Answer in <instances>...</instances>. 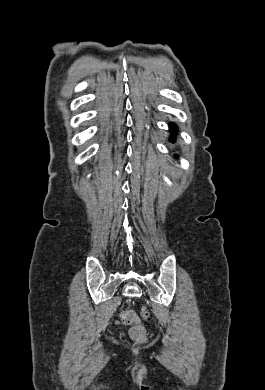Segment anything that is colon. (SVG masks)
Listing matches in <instances>:
<instances>
[{"label":"colon","instance_id":"obj_1","mask_svg":"<svg viewBox=\"0 0 265 390\" xmlns=\"http://www.w3.org/2000/svg\"><path fill=\"white\" fill-rule=\"evenodd\" d=\"M141 313L145 319L150 318V314L146 310H142ZM120 320L123 324L132 325L129 333L133 340L137 342H143L146 340L147 338L146 329L141 324L135 312L129 310L121 312Z\"/></svg>","mask_w":265,"mask_h":390}]
</instances>
